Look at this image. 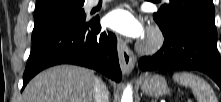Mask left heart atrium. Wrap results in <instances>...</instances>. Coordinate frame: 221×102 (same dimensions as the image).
<instances>
[{
    "label": "left heart atrium",
    "mask_w": 221,
    "mask_h": 102,
    "mask_svg": "<svg viewBox=\"0 0 221 102\" xmlns=\"http://www.w3.org/2000/svg\"><path fill=\"white\" fill-rule=\"evenodd\" d=\"M105 24L114 31L129 37H140L144 33L141 20L132 9L126 6L110 11L105 17Z\"/></svg>",
    "instance_id": "obj_1"
}]
</instances>
